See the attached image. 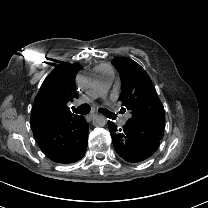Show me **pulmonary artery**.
I'll list each match as a JSON object with an SVG mask.
<instances>
[{"mask_svg":"<svg viewBox=\"0 0 208 208\" xmlns=\"http://www.w3.org/2000/svg\"><path fill=\"white\" fill-rule=\"evenodd\" d=\"M94 73L97 77V81L95 82V84L90 88L87 95H84L82 97H78L74 101L75 106L78 107V108L89 105L90 102H91L90 97L99 96V95H101V94H103L107 91V89L109 87V80L113 77L114 70L110 65L106 64V65H103V66H97L94 69ZM103 98H105V97H103ZM109 105H111V104H109ZM111 108H113V107L111 106ZM116 113H117V111H116ZM126 118L127 117L123 118L122 113H117L116 114V119L120 120L121 124H123L125 122Z\"/></svg>","mask_w":208,"mask_h":208,"instance_id":"obj_1","label":"pulmonary artery"}]
</instances>
